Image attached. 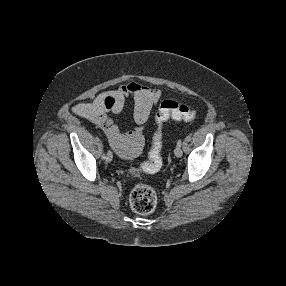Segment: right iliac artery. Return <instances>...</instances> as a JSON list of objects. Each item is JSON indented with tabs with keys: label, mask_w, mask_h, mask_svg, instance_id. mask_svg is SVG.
<instances>
[{
	"label": "right iliac artery",
	"mask_w": 286,
	"mask_h": 286,
	"mask_svg": "<svg viewBox=\"0 0 286 286\" xmlns=\"http://www.w3.org/2000/svg\"><path fill=\"white\" fill-rule=\"evenodd\" d=\"M106 158V155H105V153L102 155V159H105Z\"/></svg>",
	"instance_id": "1"
}]
</instances>
